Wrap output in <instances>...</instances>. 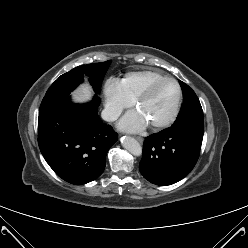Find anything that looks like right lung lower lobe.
<instances>
[{
    "mask_svg": "<svg viewBox=\"0 0 248 248\" xmlns=\"http://www.w3.org/2000/svg\"><path fill=\"white\" fill-rule=\"evenodd\" d=\"M97 95L87 104L64 99L42 111L38 144L53 171L63 180L81 185L93 181L105 168L106 154L118 135L98 116Z\"/></svg>",
    "mask_w": 248,
    "mask_h": 248,
    "instance_id": "obj_1",
    "label": "right lung lower lobe"
}]
</instances>
